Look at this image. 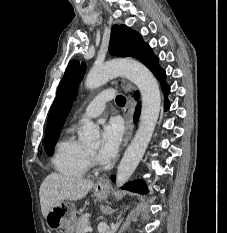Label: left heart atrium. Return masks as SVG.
Instances as JSON below:
<instances>
[{
    "instance_id": "left-heart-atrium-1",
    "label": "left heart atrium",
    "mask_w": 227,
    "mask_h": 233,
    "mask_svg": "<svg viewBox=\"0 0 227 233\" xmlns=\"http://www.w3.org/2000/svg\"><path fill=\"white\" fill-rule=\"evenodd\" d=\"M122 140V128L120 124L111 120L103 126L101 133V144L97 157L103 162H109L115 157Z\"/></svg>"
}]
</instances>
